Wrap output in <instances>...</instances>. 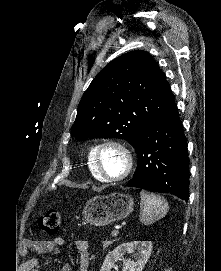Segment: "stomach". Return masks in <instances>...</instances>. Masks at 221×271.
<instances>
[{
    "instance_id": "stomach-1",
    "label": "stomach",
    "mask_w": 221,
    "mask_h": 271,
    "mask_svg": "<svg viewBox=\"0 0 221 271\" xmlns=\"http://www.w3.org/2000/svg\"><path fill=\"white\" fill-rule=\"evenodd\" d=\"M134 209V197L129 193H109L96 195L87 201L84 217L91 225H108L112 221L124 219Z\"/></svg>"
}]
</instances>
